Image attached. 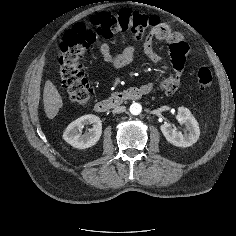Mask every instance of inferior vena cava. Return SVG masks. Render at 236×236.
<instances>
[{
    "instance_id": "obj_1",
    "label": "inferior vena cava",
    "mask_w": 236,
    "mask_h": 236,
    "mask_svg": "<svg viewBox=\"0 0 236 236\" xmlns=\"http://www.w3.org/2000/svg\"><path fill=\"white\" fill-rule=\"evenodd\" d=\"M126 111V107L125 106H118V107H115L112 112L113 113H123Z\"/></svg>"
}]
</instances>
